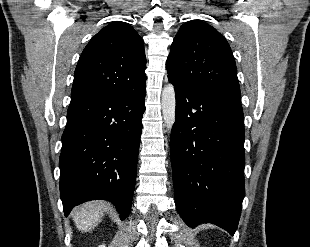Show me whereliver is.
I'll return each mask as SVG.
<instances>
[{"mask_svg":"<svg viewBox=\"0 0 310 247\" xmlns=\"http://www.w3.org/2000/svg\"><path fill=\"white\" fill-rule=\"evenodd\" d=\"M108 204L103 201L87 202L74 211L73 220L76 227L82 232L95 228L102 220Z\"/></svg>","mask_w":310,"mask_h":247,"instance_id":"obj_1","label":"liver"}]
</instances>
